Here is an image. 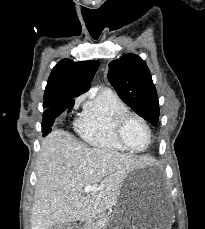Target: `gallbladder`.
<instances>
[{
  "label": "gallbladder",
  "mask_w": 205,
  "mask_h": 229,
  "mask_svg": "<svg viewBox=\"0 0 205 229\" xmlns=\"http://www.w3.org/2000/svg\"><path fill=\"white\" fill-rule=\"evenodd\" d=\"M67 227V224H56L51 229H68Z\"/></svg>",
  "instance_id": "bac80fb5"
}]
</instances>
